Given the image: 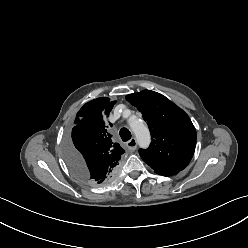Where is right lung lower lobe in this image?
Listing matches in <instances>:
<instances>
[{
	"instance_id": "1",
	"label": "right lung lower lobe",
	"mask_w": 248,
	"mask_h": 248,
	"mask_svg": "<svg viewBox=\"0 0 248 248\" xmlns=\"http://www.w3.org/2000/svg\"><path fill=\"white\" fill-rule=\"evenodd\" d=\"M67 164H68V163H67ZM68 165H69V164H68ZM69 167H70V169L73 171V173H74L77 177H79L81 180H83V181H86V182H89V183H94V182L100 181L99 178L85 179V178H84V175L81 173L80 169H78V165H77V164H75V165H73V166H70V165H69ZM116 175H117V171L115 170V171H113V173H112L110 176H108L106 179H102V182H103V181H107V180H109L110 178L115 177Z\"/></svg>"
}]
</instances>
